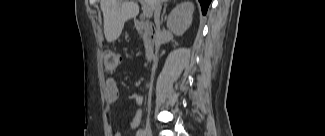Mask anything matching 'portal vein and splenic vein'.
I'll return each mask as SVG.
<instances>
[{
    "label": "portal vein and splenic vein",
    "mask_w": 325,
    "mask_h": 136,
    "mask_svg": "<svg viewBox=\"0 0 325 136\" xmlns=\"http://www.w3.org/2000/svg\"><path fill=\"white\" fill-rule=\"evenodd\" d=\"M142 3V10H143V15L146 18H150L152 16V12L150 8L144 4L143 0H139Z\"/></svg>",
    "instance_id": "portal-vein-and-splenic-vein-1"
}]
</instances>
